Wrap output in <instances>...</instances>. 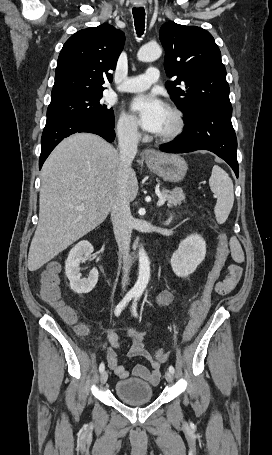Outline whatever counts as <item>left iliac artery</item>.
<instances>
[{
  "label": "left iliac artery",
  "mask_w": 272,
  "mask_h": 455,
  "mask_svg": "<svg viewBox=\"0 0 272 455\" xmlns=\"http://www.w3.org/2000/svg\"><path fill=\"white\" fill-rule=\"evenodd\" d=\"M140 297V294H136L135 295V299L133 301V305H132V313L135 317L138 316V313H137V300L139 299ZM169 371L173 374L175 372V369L172 365L169 366Z\"/></svg>",
  "instance_id": "44dca946"
}]
</instances>
